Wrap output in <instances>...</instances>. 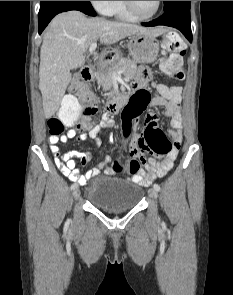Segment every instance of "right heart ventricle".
<instances>
[{"mask_svg":"<svg viewBox=\"0 0 233 295\" xmlns=\"http://www.w3.org/2000/svg\"><path fill=\"white\" fill-rule=\"evenodd\" d=\"M109 15L127 21H133L136 19L127 11L124 1H113Z\"/></svg>","mask_w":233,"mask_h":295,"instance_id":"1","label":"right heart ventricle"}]
</instances>
